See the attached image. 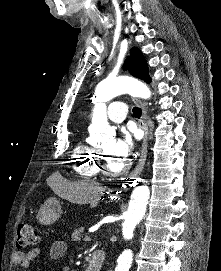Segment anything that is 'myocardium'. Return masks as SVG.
<instances>
[{
	"label": "myocardium",
	"instance_id": "f54148a6",
	"mask_svg": "<svg viewBox=\"0 0 221 271\" xmlns=\"http://www.w3.org/2000/svg\"><path fill=\"white\" fill-rule=\"evenodd\" d=\"M134 158H124L123 161L119 163H110V158H105L104 161H100V166L103 173L102 177L107 178V176H118L126 175V171L131 169L130 163H134Z\"/></svg>",
	"mask_w": 221,
	"mask_h": 271
}]
</instances>
